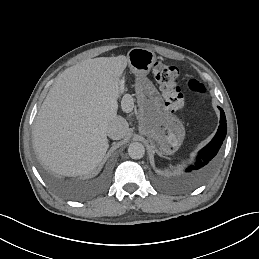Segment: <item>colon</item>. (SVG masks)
Here are the masks:
<instances>
[{
    "mask_svg": "<svg viewBox=\"0 0 259 259\" xmlns=\"http://www.w3.org/2000/svg\"><path fill=\"white\" fill-rule=\"evenodd\" d=\"M152 75L162 93L167 109L172 113L181 112L186 107V101L178 84V69L173 65L157 62L152 68ZM186 88L196 95H203L206 92L204 84L195 78L187 81Z\"/></svg>",
    "mask_w": 259,
    "mask_h": 259,
    "instance_id": "5ec220e1",
    "label": "colon"
}]
</instances>
